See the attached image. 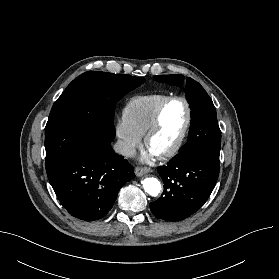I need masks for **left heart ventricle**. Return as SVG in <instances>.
<instances>
[{"mask_svg":"<svg viewBox=\"0 0 279 279\" xmlns=\"http://www.w3.org/2000/svg\"><path fill=\"white\" fill-rule=\"evenodd\" d=\"M187 117L185 104L176 100L165 109L161 125L149 143V149L155 154L166 151L181 134Z\"/></svg>","mask_w":279,"mask_h":279,"instance_id":"b2bd125f","label":"left heart ventricle"}]
</instances>
